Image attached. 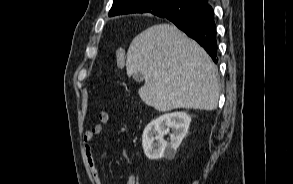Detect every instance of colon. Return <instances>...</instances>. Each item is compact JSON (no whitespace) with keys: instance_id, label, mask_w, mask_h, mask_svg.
<instances>
[{"instance_id":"1","label":"colon","mask_w":293,"mask_h":184,"mask_svg":"<svg viewBox=\"0 0 293 184\" xmlns=\"http://www.w3.org/2000/svg\"><path fill=\"white\" fill-rule=\"evenodd\" d=\"M115 57H116L117 65L120 68H123L125 66V62H126L125 52L122 49H117L115 51Z\"/></svg>"}]
</instances>
